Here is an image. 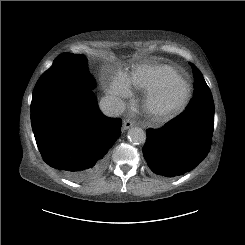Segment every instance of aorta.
<instances>
[{"instance_id": "1", "label": "aorta", "mask_w": 245, "mask_h": 245, "mask_svg": "<svg viewBox=\"0 0 245 245\" xmlns=\"http://www.w3.org/2000/svg\"><path fill=\"white\" fill-rule=\"evenodd\" d=\"M128 138L134 144H143L146 141V133L142 128L134 127L129 129Z\"/></svg>"}]
</instances>
